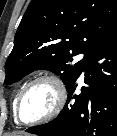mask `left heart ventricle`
<instances>
[{
    "label": "left heart ventricle",
    "instance_id": "b2bd125f",
    "mask_svg": "<svg viewBox=\"0 0 117 136\" xmlns=\"http://www.w3.org/2000/svg\"><path fill=\"white\" fill-rule=\"evenodd\" d=\"M56 102L54 88L48 83L33 86L23 97L20 105V117L31 121L48 114Z\"/></svg>",
    "mask_w": 117,
    "mask_h": 136
}]
</instances>
